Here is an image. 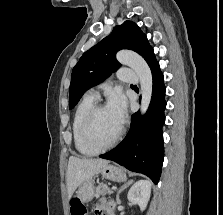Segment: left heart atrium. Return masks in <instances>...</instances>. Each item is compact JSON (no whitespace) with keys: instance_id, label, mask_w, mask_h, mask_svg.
Segmentation results:
<instances>
[{"instance_id":"1","label":"left heart atrium","mask_w":223,"mask_h":215,"mask_svg":"<svg viewBox=\"0 0 223 215\" xmlns=\"http://www.w3.org/2000/svg\"><path fill=\"white\" fill-rule=\"evenodd\" d=\"M106 110L116 119L121 125L125 120L126 101L120 92H114L106 106Z\"/></svg>"}]
</instances>
